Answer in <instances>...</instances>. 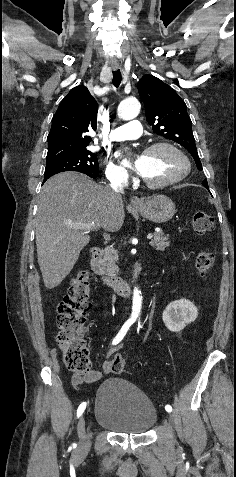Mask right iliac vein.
<instances>
[{
	"instance_id": "1",
	"label": "right iliac vein",
	"mask_w": 236,
	"mask_h": 477,
	"mask_svg": "<svg viewBox=\"0 0 236 477\" xmlns=\"http://www.w3.org/2000/svg\"><path fill=\"white\" fill-rule=\"evenodd\" d=\"M77 429H78V436H79L78 451L86 452L90 448V437L85 430L84 417L80 418Z\"/></svg>"
}]
</instances>
